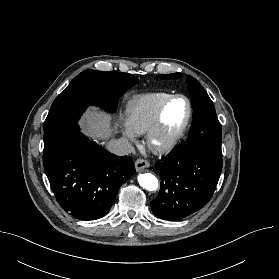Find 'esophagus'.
Returning <instances> with one entry per match:
<instances>
[{"mask_svg":"<svg viewBox=\"0 0 279 279\" xmlns=\"http://www.w3.org/2000/svg\"><path fill=\"white\" fill-rule=\"evenodd\" d=\"M148 167H150V163L144 159H137L135 162V168L138 172Z\"/></svg>","mask_w":279,"mask_h":279,"instance_id":"obj_1","label":"esophagus"}]
</instances>
